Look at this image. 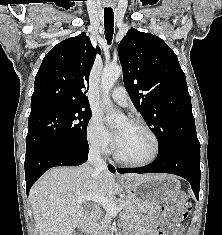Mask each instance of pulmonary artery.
Returning <instances> with one entry per match:
<instances>
[{
    "mask_svg": "<svg viewBox=\"0 0 222 235\" xmlns=\"http://www.w3.org/2000/svg\"><path fill=\"white\" fill-rule=\"evenodd\" d=\"M111 98L121 106L128 105V95L124 87L119 86L112 90Z\"/></svg>",
    "mask_w": 222,
    "mask_h": 235,
    "instance_id": "obj_1",
    "label": "pulmonary artery"
}]
</instances>
